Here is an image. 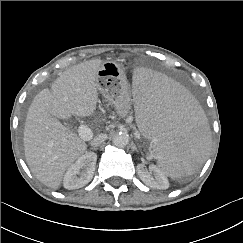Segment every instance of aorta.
I'll return each mask as SVG.
<instances>
[{
  "mask_svg": "<svg viewBox=\"0 0 243 243\" xmlns=\"http://www.w3.org/2000/svg\"><path fill=\"white\" fill-rule=\"evenodd\" d=\"M128 143H129V136L125 133H119L115 135L113 138V144L116 147L124 148L128 145Z\"/></svg>",
  "mask_w": 243,
  "mask_h": 243,
  "instance_id": "obj_1",
  "label": "aorta"
}]
</instances>
